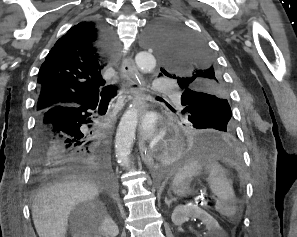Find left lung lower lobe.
Listing matches in <instances>:
<instances>
[{
  "label": "left lung lower lobe",
  "mask_w": 297,
  "mask_h": 237,
  "mask_svg": "<svg viewBox=\"0 0 297 237\" xmlns=\"http://www.w3.org/2000/svg\"><path fill=\"white\" fill-rule=\"evenodd\" d=\"M183 140L178 144L171 163L182 164L188 160L206 157H230L235 154L237 143L233 131L219 128L217 120L206 118L204 122H194Z\"/></svg>",
  "instance_id": "left-lung-lower-lobe-1"
}]
</instances>
